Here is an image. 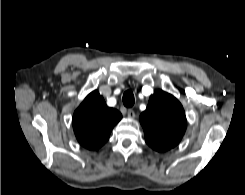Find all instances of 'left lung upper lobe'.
Masks as SVG:
<instances>
[{"label":"left lung upper lobe","mask_w":245,"mask_h":195,"mask_svg":"<svg viewBox=\"0 0 245 195\" xmlns=\"http://www.w3.org/2000/svg\"><path fill=\"white\" fill-rule=\"evenodd\" d=\"M146 143L159 152L175 147L182 139L186 116L181 103L171 94L156 91L140 115Z\"/></svg>","instance_id":"left-lung-upper-lobe-1"}]
</instances>
